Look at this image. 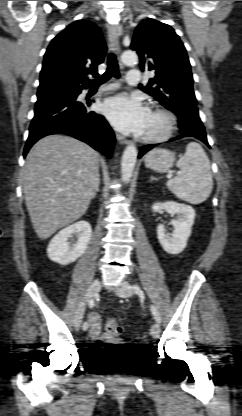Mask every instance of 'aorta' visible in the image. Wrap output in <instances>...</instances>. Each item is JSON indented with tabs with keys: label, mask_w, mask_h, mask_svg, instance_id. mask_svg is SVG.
I'll use <instances>...</instances> for the list:
<instances>
[{
	"label": "aorta",
	"mask_w": 242,
	"mask_h": 416,
	"mask_svg": "<svg viewBox=\"0 0 242 416\" xmlns=\"http://www.w3.org/2000/svg\"><path fill=\"white\" fill-rule=\"evenodd\" d=\"M121 60L126 65H133L138 61V57L134 51H125L121 56ZM137 154V148L134 145H128L123 152L121 160V177L124 183H129L132 178Z\"/></svg>",
	"instance_id": "762f6f07"
}]
</instances>
